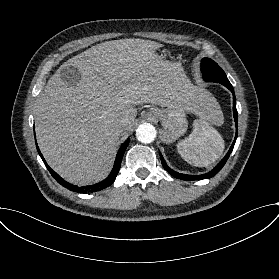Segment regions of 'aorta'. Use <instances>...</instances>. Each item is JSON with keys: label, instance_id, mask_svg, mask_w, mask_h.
Returning a JSON list of instances; mask_svg holds the SVG:
<instances>
[{"label": "aorta", "instance_id": "obj_1", "mask_svg": "<svg viewBox=\"0 0 279 279\" xmlns=\"http://www.w3.org/2000/svg\"><path fill=\"white\" fill-rule=\"evenodd\" d=\"M136 138L138 141L148 144L156 138V129L150 123H144L136 129Z\"/></svg>", "mask_w": 279, "mask_h": 279}]
</instances>
